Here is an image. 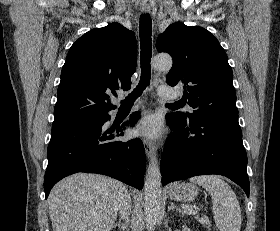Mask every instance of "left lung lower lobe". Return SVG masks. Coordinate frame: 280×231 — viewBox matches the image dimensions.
I'll use <instances>...</instances> for the list:
<instances>
[{
    "label": "left lung lower lobe",
    "instance_id": "obj_1",
    "mask_svg": "<svg viewBox=\"0 0 280 231\" xmlns=\"http://www.w3.org/2000/svg\"><path fill=\"white\" fill-rule=\"evenodd\" d=\"M170 133L161 159L162 184L193 176L218 174L230 178L249 197L247 155L238 118L202 117L186 123L166 115Z\"/></svg>",
    "mask_w": 280,
    "mask_h": 231
}]
</instances>
